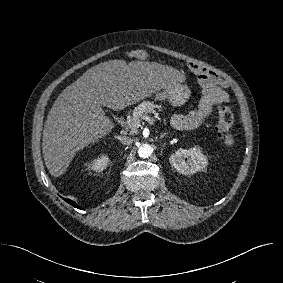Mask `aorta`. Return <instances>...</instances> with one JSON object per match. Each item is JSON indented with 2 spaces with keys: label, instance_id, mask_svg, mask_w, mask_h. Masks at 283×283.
Masks as SVG:
<instances>
[{
  "label": "aorta",
  "instance_id": "1",
  "mask_svg": "<svg viewBox=\"0 0 283 283\" xmlns=\"http://www.w3.org/2000/svg\"><path fill=\"white\" fill-rule=\"evenodd\" d=\"M152 147L149 144H142L139 148H138V155L141 158H148L151 156L152 154Z\"/></svg>",
  "mask_w": 283,
  "mask_h": 283
}]
</instances>
